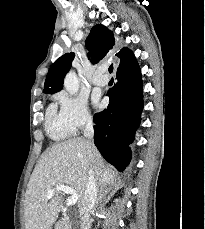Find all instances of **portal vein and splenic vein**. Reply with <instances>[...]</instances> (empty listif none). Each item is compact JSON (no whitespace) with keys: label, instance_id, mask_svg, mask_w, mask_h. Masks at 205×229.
<instances>
[{"label":"portal vein and splenic vein","instance_id":"portal-vein-and-splenic-vein-1","mask_svg":"<svg viewBox=\"0 0 205 229\" xmlns=\"http://www.w3.org/2000/svg\"><path fill=\"white\" fill-rule=\"evenodd\" d=\"M59 191L70 195L67 199V203H66L67 206L74 205L79 199V195L76 193V191L70 186L64 184L56 185L55 188L49 190L46 194V198L51 199L54 196L55 192H59Z\"/></svg>","mask_w":205,"mask_h":229}]
</instances>
